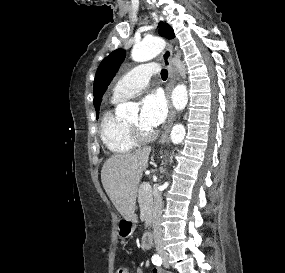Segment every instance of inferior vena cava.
Listing matches in <instances>:
<instances>
[{"mask_svg": "<svg viewBox=\"0 0 285 273\" xmlns=\"http://www.w3.org/2000/svg\"><path fill=\"white\" fill-rule=\"evenodd\" d=\"M161 215H162V196L161 193H158L154 198V204L152 209V228H153V238H154L156 251L162 255L165 254V250L163 245Z\"/></svg>", "mask_w": 285, "mask_h": 273, "instance_id": "inferior-vena-cava-1", "label": "inferior vena cava"}]
</instances>
